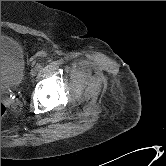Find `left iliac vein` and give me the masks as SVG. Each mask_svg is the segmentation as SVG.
<instances>
[{
	"instance_id": "1",
	"label": "left iliac vein",
	"mask_w": 166,
	"mask_h": 166,
	"mask_svg": "<svg viewBox=\"0 0 166 166\" xmlns=\"http://www.w3.org/2000/svg\"><path fill=\"white\" fill-rule=\"evenodd\" d=\"M30 74H31L32 77L36 76L37 68H32L31 71H30Z\"/></svg>"
}]
</instances>
